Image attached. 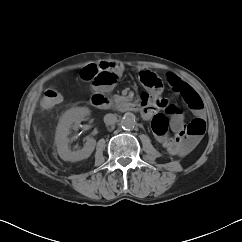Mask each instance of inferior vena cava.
Returning a JSON list of instances; mask_svg holds the SVG:
<instances>
[{"label": "inferior vena cava", "instance_id": "obj_1", "mask_svg": "<svg viewBox=\"0 0 242 242\" xmlns=\"http://www.w3.org/2000/svg\"><path fill=\"white\" fill-rule=\"evenodd\" d=\"M116 121H117V115L116 114L109 113V114H106L104 116V123L106 125H113V124L116 123Z\"/></svg>", "mask_w": 242, "mask_h": 242}]
</instances>
